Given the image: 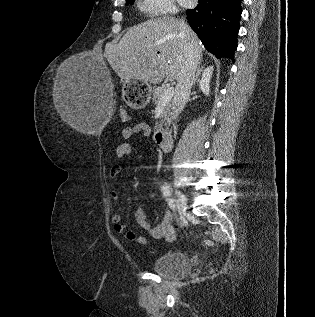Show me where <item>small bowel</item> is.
<instances>
[{
    "instance_id": "small-bowel-1",
    "label": "small bowel",
    "mask_w": 315,
    "mask_h": 317,
    "mask_svg": "<svg viewBox=\"0 0 315 317\" xmlns=\"http://www.w3.org/2000/svg\"><path fill=\"white\" fill-rule=\"evenodd\" d=\"M141 134L144 136H150L151 128L145 122H137L131 124L127 127H124L121 131V135L123 138L127 139L132 137L133 135ZM133 152V147L130 143H122L115 148L114 155L116 158H124L129 156ZM122 172V166L113 165L109 171V177L114 179ZM112 199L117 201L120 199V194L116 191L111 194ZM135 219L137 224L154 239H171L173 237L174 229L172 224V214L167 209L162 218V221L156 225L152 226L150 222L147 220L145 212L142 207H139L135 212ZM111 221L113 224V229L115 232L119 233L123 236L124 239L129 241H135L140 245H145L147 243V238L138 234L135 231L130 230L123 222L121 215L118 213H114L111 216Z\"/></svg>"
}]
</instances>
